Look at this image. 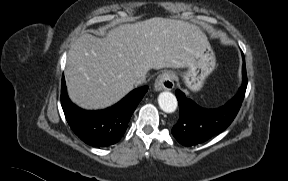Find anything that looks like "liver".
Returning <instances> with one entry per match:
<instances>
[{"label":"liver","instance_id":"liver-1","mask_svg":"<svg viewBox=\"0 0 288 181\" xmlns=\"http://www.w3.org/2000/svg\"><path fill=\"white\" fill-rule=\"evenodd\" d=\"M204 37L194 24L162 17L119 25L102 39L83 34L68 51V94L85 109L109 107L151 69L187 67Z\"/></svg>","mask_w":288,"mask_h":181}]
</instances>
